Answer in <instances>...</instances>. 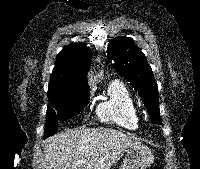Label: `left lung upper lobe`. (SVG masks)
<instances>
[{
	"instance_id": "1",
	"label": "left lung upper lobe",
	"mask_w": 200,
	"mask_h": 169,
	"mask_svg": "<svg viewBox=\"0 0 200 169\" xmlns=\"http://www.w3.org/2000/svg\"><path fill=\"white\" fill-rule=\"evenodd\" d=\"M107 56L114 62L115 69L138 90L152 121L161 125L157 84L145 55L134 45L133 39L123 36L112 39Z\"/></svg>"
}]
</instances>
